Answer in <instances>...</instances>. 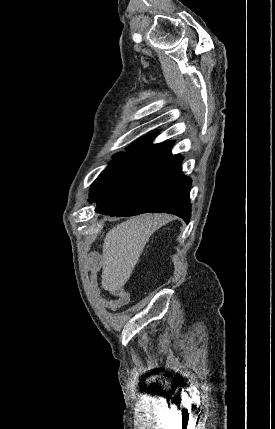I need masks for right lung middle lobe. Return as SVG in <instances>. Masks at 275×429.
<instances>
[{
  "label": "right lung middle lobe",
  "instance_id": "obj_1",
  "mask_svg": "<svg viewBox=\"0 0 275 429\" xmlns=\"http://www.w3.org/2000/svg\"><path fill=\"white\" fill-rule=\"evenodd\" d=\"M150 161L145 157H137L126 153H118L112 162L94 181L91 186L89 201L98 202L120 189L131 180L140 168Z\"/></svg>",
  "mask_w": 275,
  "mask_h": 429
}]
</instances>
